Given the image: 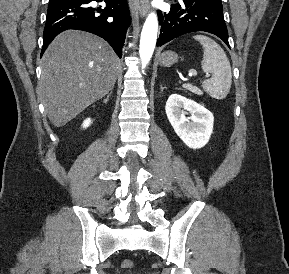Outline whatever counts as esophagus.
Returning <instances> with one entry per match:
<instances>
[{
  "label": "esophagus",
  "mask_w": 289,
  "mask_h": 274,
  "mask_svg": "<svg viewBox=\"0 0 289 274\" xmlns=\"http://www.w3.org/2000/svg\"><path fill=\"white\" fill-rule=\"evenodd\" d=\"M135 7L139 15L144 17L149 9V0H135Z\"/></svg>",
  "instance_id": "1"
}]
</instances>
